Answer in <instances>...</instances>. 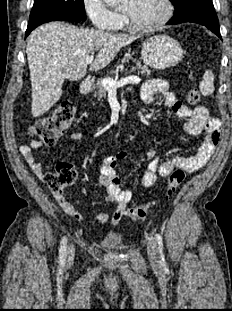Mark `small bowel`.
<instances>
[{"label": "small bowel", "instance_id": "c3829d8e", "mask_svg": "<svg viewBox=\"0 0 232 311\" xmlns=\"http://www.w3.org/2000/svg\"><path fill=\"white\" fill-rule=\"evenodd\" d=\"M156 95L163 97L167 107L181 118H188L184 130L190 135H204L203 142L197 153L190 157L174 156L168 160L160 161L154 158L146 167L141 177V184L144 187H152L157 177H167L175 169H182L186 172H194L202 168L215 148L217 147L220 135L221 124L217 119L211 118L207 108L196 106L191 109L168 89V83L162 79L146 81L141 88V98L146 104H152ZM84 137L80 131H72L68 134L71 141H80ZM44 143L41 140L33 139L21 146L20 151L34 174L46 182V173L42 164L36 159L34 150L42 148ZM126 151H120L115 155L107 156L101 166L99 183L106 190L105 201L116 203L117 209L113 213L101 212L95 216V221L105 223L110 221L112 226H117L124 214L126 205L132 199V192L123 187L118 164L125 159ZM53 196L62 210L71 218L81 221L84 214L78 211L73 204L68 202L63 194L53 192Z\"/></svg>", "mask_w": 232, "mask_h": 311}]
</instances>
